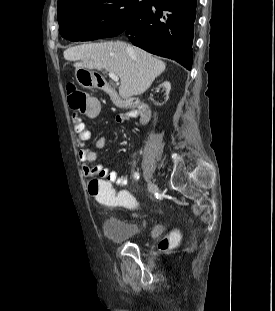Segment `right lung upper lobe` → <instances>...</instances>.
Listing matches in <instances>:
<instances>
[{"label": "right lung upper lobe", "instance_id": "cb5924a9", "mask_svg": "<svg viewBox=\"0 0 275 311\" xmlns=\"http://www.w3.org/2000/svg\"><path fill=\"white\" fill-rule=\"evenodd\" d=\"M67 1H71V0H58L57 2V6L64 3V2H67Z\"/></svg>", "mask_w": 275, "mask_h": 311}]
</instances>
